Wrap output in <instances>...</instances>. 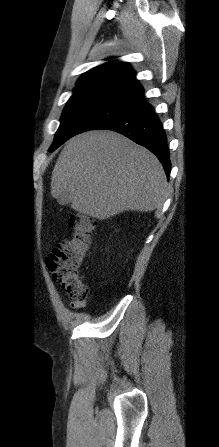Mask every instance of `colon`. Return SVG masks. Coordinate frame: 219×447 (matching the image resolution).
Listing matches in <instances>:
<instances>
[{"mask_svg": "<svg viewBox=\"0 0 219 447\" xmlns=\"http://www.w3.org/2000/svg\"><path fill=\"white\" fill-rule=\"evenodd\" d=\"M73 230L69 238L62 240L50 254L47 265L55 282L67 292L72 302H84L87 287L80 279V267L84 262L94 230V221L82 214L69 218Z\"/></svg>", "mask_w": 219, "mask_h": 447, "instance_id": "obj_1", "label": "colon"}]
</instances>
